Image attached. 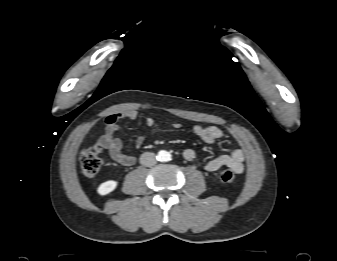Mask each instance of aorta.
Listing matches in <instances>:
<instances>
[{"mask_svg": "<svg viewBox=\"0 0 337 261\" xmlns=\"http://www.w3.org/2000/svg\"><path fill=\"white\" fill-rule=\"evenodd\" d=\"M159 155L163 161H168L170 159V154L166 151H161Z\"/></svg>", "mask_w": 337, "mask_h": 261, "instance_id": "762f6f07", "label": "aorta"}]
</instances>
